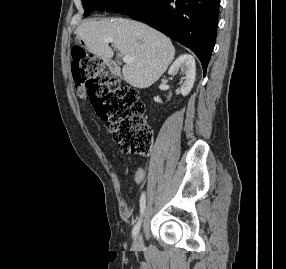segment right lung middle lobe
I'll list each match as a JSON object with an SVG mask.
<instances>
[{
	"label": "right lung middle lobe",
	"mask_w": 286,
	"mask_h": 269,
	"mask_svg": "<svg viewBox=\"0 0 286 269\" xmlns=\"http://www.w3.org/2000/svg\"><path fill=\"white\" fill-rule=\"evenodd\" d=\"M155 0H82L84 16L89 15L93 10L113 11L125 15H131L146 9Z\"/></svg>",
	"instance_id": "1"
}]
</instances>
